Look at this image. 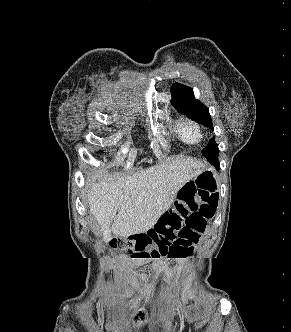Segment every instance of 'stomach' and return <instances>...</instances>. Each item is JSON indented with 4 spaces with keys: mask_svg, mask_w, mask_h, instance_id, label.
Wrapping results in <instances>:
<instances>
[{
    "mask_svg": "<svg viewBox=\"0 0 291 332\" xmlns=\"http://www.w3.org/2000/svg\"><path fill=\"white\" fill-rule=\"evenodd\" d=\"M193 182L199 190L209 193H214L219 188L217 173L211 168L199 172L193 178Z\"/></svg>",
    "mask_w": 291,
    "mask_h": 332,
    "instance_id": "obj_1",
    "label": "stomach"
}]
</instances>
